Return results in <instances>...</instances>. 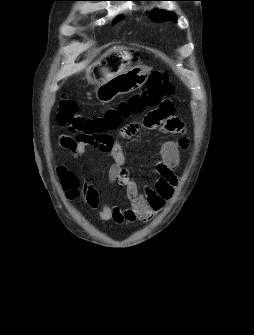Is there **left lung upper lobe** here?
Instances as JSON below:
<instances>
[{"mask_svg":"<svg viewBox=\"0 0 254 335\" xmlns=\"http://www.w3.org/2000/svg\"><path fill=\"white\" fill-rule=\"evenodd\" d=\"M145 1H154V0H145ZM149 16L156 22H163L168 20H173L176 22L177 20L175 13L172 12L165 13L164 11H154L153 13H150Z\"/></svg>","mask_w":254,"mask_h":335,"instance_id":"1","label":"left lung upper lobe"}]
</instances>
